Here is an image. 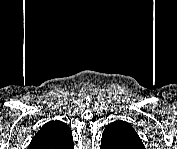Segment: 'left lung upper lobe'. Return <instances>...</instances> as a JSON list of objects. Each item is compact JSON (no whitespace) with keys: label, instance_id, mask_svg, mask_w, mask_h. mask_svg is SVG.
Segmentation results:
<instances>
[{"label":"left lung upper lobe","instance_id":"5c2ea615","mask_svg":"<svg viewBox=\"0 0 177 149\" xmlns=\"http://www.w3.org/2000/svg\"><path fill=\"white\" fill-rule=\"evenodd\" d=\"M101 145L107 149H142L144 147L134 128L118 120L110 123L102 134Z\"/></svg>","mask_w":177,"mask_h":149}]
</instances>
